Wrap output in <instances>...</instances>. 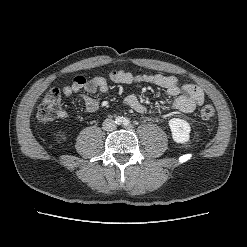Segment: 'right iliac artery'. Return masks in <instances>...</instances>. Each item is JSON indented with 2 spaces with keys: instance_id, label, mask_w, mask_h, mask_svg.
Returning a JSON list of instances; mask_svg holds the SVG:
<instances>
[{
  "instance_id": "82829eb1",
  "label": "right iliac artery",
  "mask_w": 247,
  "mask_h": 247,
  "mask_svg": "<svg viewBox=\"0 0 247 247\" xmlns=\"http://www.w3.org/2000/svg\"><path fill=\"white\" fill-rule=\"evenodd\" d=\"M122 122H123L122 117H117V118L115 119V123H116V124H121Z\"/></svg>"
}]
</instances>
